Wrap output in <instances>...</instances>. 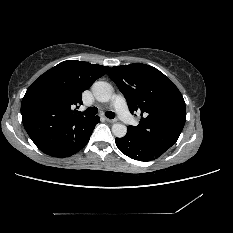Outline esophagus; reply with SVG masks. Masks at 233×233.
Listing matches in <instances>:
<instances>
[{
	"label": "esophagus",
	"instance_id": "34e87169",
	"mask_svg": "<svg viewBox=\"0 0 233 233\" xmlns=\"http://www.w3.org/2000/svg\"><path fill=\"white\" fill-rule=\"evenodd\" d=\"M105 121L109 122V123H115L117 120L116 119L105 118Z\"/></svg>",
	"mask_w": 233,
	"mask_h": 233
}]
</instances>
